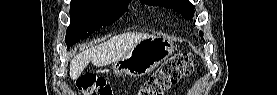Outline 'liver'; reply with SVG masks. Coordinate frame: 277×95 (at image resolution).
Listing matches in <instances>:
<instances>
[{
  "instance_id": "1",
  "label": "liver",
  "mask_w": 277,
  "mask_h": 95,
  "mask_svg": "<svg viewBox=\"0 0 277 95\" xmlns=\"http://www.w3.org/2000/svg\"><path fill=\"white\" fill-rule=\"evenodd\" d=\"M148 37H151V35L137 32L125 33L83 50L76 54L70 62L69 75L71 79H78L90 62L94 66L103 67L118 61L138 42Z\"/></svg>"
}]
</instances>
